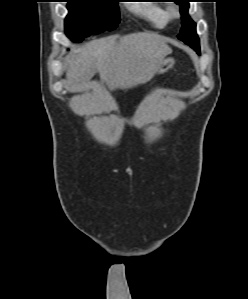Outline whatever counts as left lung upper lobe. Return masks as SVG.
Masks as SVG:
<instances>
[{
  "mask_svg": "<svg viewBox=\"0 0 248 299\" xmlns=\"http://www.w3.org/2000/svg\"><path fill=\"white\" fill-rule=\"evenodd\" d=\"M190 0H174L180 5V13L182 15V29L178 38L191 46L196 52L200 53L199 38L196 34V24L188 15Z\"/></svg>",
  "mask_w": 248,
  "mask_h": 299,
  "instance_id": "1",
  "label": "left lung upper lobe"
}]
</instances>
